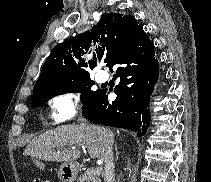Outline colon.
<instances>
[{
  "label": "colon",
  "instance_id": "obj_1",
  "mask_svg": "<svg viewBox=\"0 0 211 182\" xmlns=\"http://www.w3.org/2000/svg\"><path fill=\"white\" fill-rule=\"evenodd\" d=\"M36 182H52L51 180H36Z\"/></svg>",
  "mask_w": 211,
  "mask_h": 182
}]
</instances>
